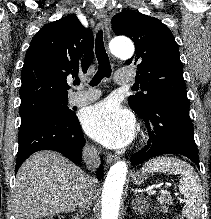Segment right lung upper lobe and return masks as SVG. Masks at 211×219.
<instances>
[{"instance_id":"1","label":"right lung upper lobe","mask_w":211,"mask_h":219,"mask_svg":"<svg viewBox=\"0 0 211 219\" xmlns=\"http://www.w3.org/2000/svg\"><path fill=\"white\" fill-rule=\"evenodd\" d=\"M93 61V33L69 15L44 25L33 37L22 67L21 104L68 98L67 79L87 72Z\"/></svg>"}]
</instances>
